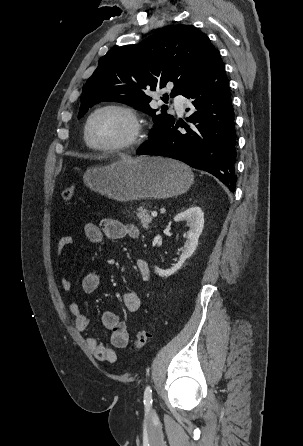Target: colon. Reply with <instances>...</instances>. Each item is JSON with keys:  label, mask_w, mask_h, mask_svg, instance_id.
Here are the masks:
<instances>
[{"label": "colon", "mask_w": 303, "mask_h": 446, "mask_svg": "<svg viewBox=\"0 0 303 446\" xmlns=\"http://www.w3.org/2000/svg\"><path fill=\"white\" fill-rule=\"evenodd\" d=\"M75 196V188L73 185L66 186L62 191L63 200L72 201ZM149 334L145 329H139L132 342V350L138 351L142 349L148 342Z\"/></svg>", "instance_id": "5ec220e1"}]
</instances>
